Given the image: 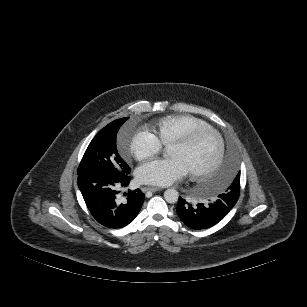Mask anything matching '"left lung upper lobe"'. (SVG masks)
Segmentation results:
<instances>
[{
  "label": "left lung upper lobe",
  "mask_w": 307,
  "mask_h": 307,
  "mask_svg": "<svg viewBox=\"0 0 307 307\" xmlns=\"http://www.w3.org/2000/svg\"><path fill=\"white\" fill-rule=\"evenodd\" d=\"M228 199L236 203L239 198L240 194V171L236 175L235 179L233 180L232 184L226 189L225 193Z\"/></svg>",
  "instance_id": "obj_1"
}]
</instances>
